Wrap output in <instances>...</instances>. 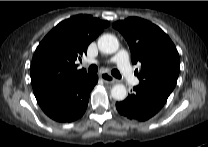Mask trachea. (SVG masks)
I'll list each match as a JSON object with an SVG mask.
<instances>
[{
  "label": "trachea",
  "mask_w": 208,
  "mask_h": 147,
  "mask_svg": "<svg viewBox=\"0 0 208 147\" xmlns=\"http://www.w3.org/2000/svg\"><path fill=\"white\" fill-rule=\"evenodd\" d=\"M97 71H98V67L96 66V65H91V66H89V68H88V72L90 73V74H95V73H97ZM111 74L114 76V77H116V78H121V74L119 73V71L118 70H116V69H113L112 71H111Z\"/></svg>",
  "instance_id": "trachea-1"
}]
</instances>
